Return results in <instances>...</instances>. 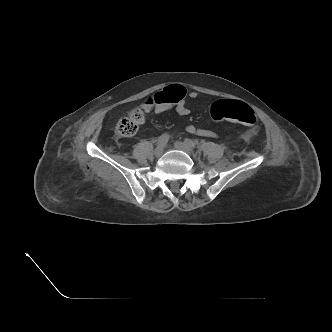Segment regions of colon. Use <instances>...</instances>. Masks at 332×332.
I'll list each match as a JSON object with an SVG mask.
<instances>
[{"label": "colon", "mask_w": 332, "mask_h": 332, "mask_svg": "<svg viewBox=\"0 0 332 332\" xmlns=\"http://www.w3.org/2000/svg\"><path fill=\"white\" fill-rule=\"evenodd\" d=\"M185 88L181 85H171L150 98L144 105L175 104L185 97ZM210 118L213 122L231 121L244 125H253L256 122L252 108L244 102L230 99L218 100L211 106ZM144 121V113L140 108H134L122 117L117 125L116 132L119 136L129 137L134 135Z\"/></svg>", "instance_id": "1"}]
</instances>
